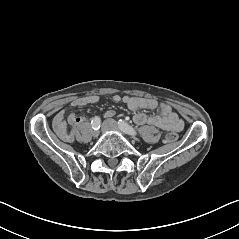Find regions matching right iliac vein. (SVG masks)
<instances>
[{
    "mask_svg": "<svg viewBox=\"0 0 239 239\" xmlns=\"http://www.w3.org/2000/svg\"><path fill=\"white\" fill-rule=\"evenodd\" d=\"M108 130H109V124L106 123V122H104V123L102 124L101 132H102V133H105V132H107ZM95 134L97 135L98 133H95Z\"/></svg>",
    "mask_w": 239,
    "mask_h": 239,
    "instance_id": "obj_1",
    "label": "right iliac vein"
}]
</instances>
